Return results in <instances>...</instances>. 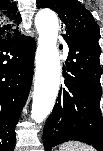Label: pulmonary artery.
<instances>
[{"mask_svg":"<svg viewBox=\"0 0 103 151\" xmlns=\"http://www.w3.org/2000/svg\"><path fill=\"white\" fill-rule=\"evenodd\" d=\"M63 44H64V51H65V52H68V51H69L68 45H67L65 42H64Z\"/></svg>","mask_w":103,"mask_h":151,"instance_id":"1","label":"pulmonary artery"}]
</instances>
